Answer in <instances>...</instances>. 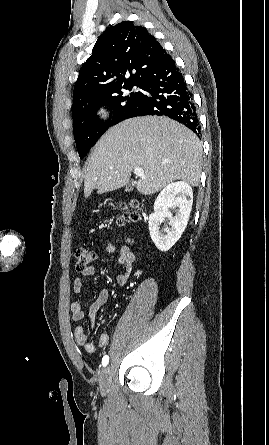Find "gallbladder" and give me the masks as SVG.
I'll use <instances>...</instances> for the list:
<instances>
[{"mask_svg": "<svg viewBox=\"0 0 269 445\" xmlns=\"http://www.w3.org/2000/svg\"><path fill=\"white\" fill-rule=\"evenodd\" d=\"M133 188H134V184H133V183H129V184L126 186L125 191H126V192H131V191L133 190Z\"/></svg>", "mask_w": 269, "mask_h": 445, "instance_id": "1", "label": "gallbladder"}]
</instances>
